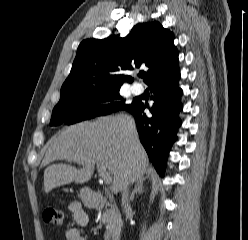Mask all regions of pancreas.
<instances>
[{
  "mask_svg": "<svg viewBox=\"0 0 248 240\" xmlns=\"http://www.w3.org/2000/svg\"><path fill=\"white\" fill-rule=\"evenodd\" d=\"M101 220L107 223L104 239L115 240L120 232V216L118 211L111 205L110 208L105 209L101 215Z\"/></svg>",
  "mask_w": 248,
  "mask_h": 240,
  "instance_id": "obj_1",
  "label": "pancreas"
}]
</instances>
